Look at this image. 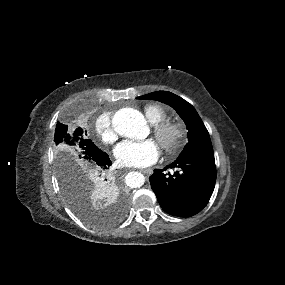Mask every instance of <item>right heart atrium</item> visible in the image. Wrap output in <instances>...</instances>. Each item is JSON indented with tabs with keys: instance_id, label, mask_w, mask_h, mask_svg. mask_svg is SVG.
Here are the masks:
<instances>
[{
	"instance_id": "d8ad5b80",
	"label": "right heart atrium",
	"mask_w": 285,
	"mask_h": 285,
	"mask_svg": "<svg viewBox=\"0 0 285 285\" xmlns=\"http://www.w3.org/2000/svg\"><path fill=\"white\" fill-rule=\"evenodd\" d=\"M95 132L105 145L112 144L117 140L118 134L113 126L112 114L105 112L98 116L95 121Z\"/></svg>"
}]
</instances>
